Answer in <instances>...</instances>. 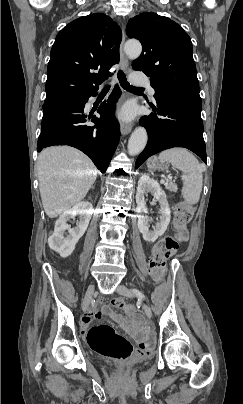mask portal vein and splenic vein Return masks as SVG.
<instances>
[{"label":"portal vein and splenic vein","mask_w":243,"mask_h":404,"mask_svg":"<svg viewBox=\"0 0 243 404\" xmlns=\"http://www.w3.org/2000/svg\"><path fill=\"white\" fill-rule=\"evenodd\" d=\"M160 185H162V186H167V185H168V182L165 181L164 179H161V180H160Z\"/></svg>","instance_id":"obj_1"}]
</instances>
